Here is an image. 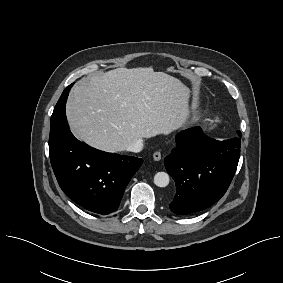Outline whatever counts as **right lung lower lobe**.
<instances>
[{"mask_svg":"<svg viewBox=\"0 0 283 283\" xmlns=\"http://www.w3.org/2000/svg\"><path fill=\"white\" fill-rule=\"evenodd\" d=\"M73 84L58 100L50 123L49 155L59 186L81 207L102 215L118 209L143 159L94 149L71 133L65 113Z\"/></svg>","mask_w":283,"mask_h":283,"instance_id":"1","label":"right lung lower lobe"}]
</instances>
